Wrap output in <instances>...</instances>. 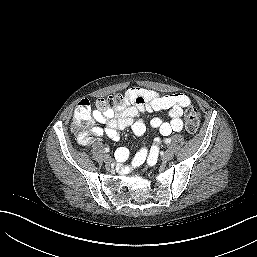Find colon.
Listing matches in <instances>:
<instances>
[{
	"instance_id": "5ec220e1",
	"label": "colon",
	"mask_w": 257,
	"mask_h": 257,
	"mask_svg": "<svg viewBox=\"0 0 257 257\" xmlns=\"http://www.w3.org/2000/svg\"><path fill=\"white\" fill-rule=\"evenodd\" d=\"M125 102L121 94L111 95L101 98L97 101L96 106L101 111L113 110L122 106ZM76 117L73 122V130L81 133V130L93 122L90 103L86 99H82L76 106ZM200 126V113L194 107H189L185 111V129L188 133L194 134Z\"/></svg>"
}]
</instances>
